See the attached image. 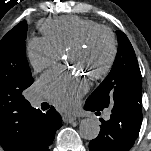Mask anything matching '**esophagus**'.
<instances>
[{
	"label": "esophagus",
	"mask_w": 151,
	"mask_h": 151,
	"mask_svg": "<svg viewBox=\"0 0 151 151\" xmlns=\"http://www.w3.org/2000/svg\"><path fill=\"white\" fill-rule=\"evenodd\" d=\"M79 116L77 115H70V114H65L63 115V121L66 123H72L73 121L77 120Z\"/></svg>",
	"instance_id": "esophagus-1"
}]
</instances>
